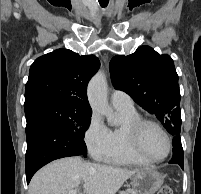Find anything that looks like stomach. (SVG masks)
Here are the masks:
<instances>
[{
    "label": "stomach",
    "mask_w": 201,
    "mask_h": 194,
    "mask_svg": "<svg viewBox=\"0 0 201 194\" xmlns=\"http://www.w3.org/2000/svg\"><path fill=\"white\" fill-rule=\"evenodd\" d=\"M163 184V176L153 169H142L132 178L134 194H154Z\"/></svg>",
    "instance_id": "obj_1"
}]
</instances>
